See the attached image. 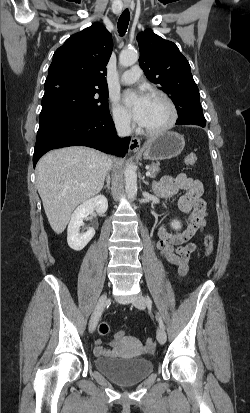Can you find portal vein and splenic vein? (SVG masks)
<instances>
[{
  "instance_id": "portal-vein-and-splenic-vein-1",
  "label": "portal vein and splenic vein",
  "mask_w": 250,
  "mask_h": 413,
  "mask_svg": "<svg viewBox=\"0 0 250 413\" xmlns=\"http://www.w3.org/2000/svg\"><path fill=\"white\" fill-rule=\"evenodd\" d=\"M151 175V173H150V171L148 170L147 172H146V176H150Z\"/></svg>"
}]
</instances>
